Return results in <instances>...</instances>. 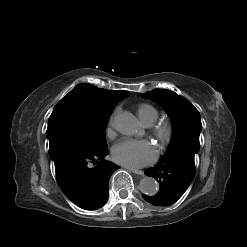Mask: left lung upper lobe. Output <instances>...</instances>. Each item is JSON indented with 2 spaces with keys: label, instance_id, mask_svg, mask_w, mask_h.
Wrapping results in <instances>:
<instances>
[{
  "label": "left lung upper lobe",
  "instance_id": "left-lung-upper-lobe-1",
  "mask_svg": "<svg viewBox=\"0 0 247 247\" xmlns=\"http://www.w3.org/2000/svg\"><path fill=\"white\" fill-rule=\"evenodd\" d=\"M142 96L161 103L172 119L173 136L166 155L181 150L197 153L202 128L198 110L186 98L170 90L153 89Z\"/></svg>",
  "mask_w": 247,
  "mask_h": 247
}]
</instances>
